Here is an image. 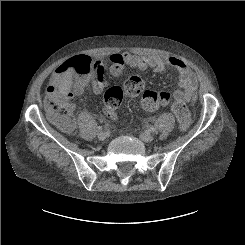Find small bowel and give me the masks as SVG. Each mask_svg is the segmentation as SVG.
Wrapping results in <instances>:
<instances>
[{
	"instance_id": "c3829d8e",
	"label": "small bowel",
	"mask_w": 245,
	"mask_h": 245,
	"mask_svg": "<svg viewBox=\"0 0 245 245\" xmlns=\"http://www.w3.org/2000/svg\"><path fill=\"white\" fill-rule=\"evenodd\" d=\"M110 73L118 76L125 66L140 70L154 69L161 72L168 68L178 73V89L175 95L181 96L186 102L193 103L197 99V83L192 71L178 57L173 55L138 56L130 52H116L108 57ZM65 63L56 67L53 82H64L71 84L75 95H83L90 90L92 94L99 95L107 87V80L90 81L88 79L75 78L64 70ZM116 115L114 116V118Z\"/></svg>"
}]
</instances>
